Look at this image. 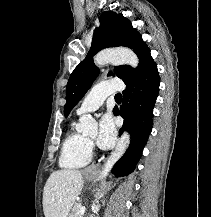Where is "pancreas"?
<instances>
[{
    "label": "pancreas",
    "mask_w": 211,
    "mask_h": 217,
    "mask_svg": "<svg viewBox=\"0 0 211 217\" xmlns=\"http://www.w3.org/2000/svg\"><path fill=\"white\" fill-rule=\"evenodd\" d=\"M80 208L81 207L79 204H75L69 217H82V215L80 214Z\"/></svg>",
    "instance_id": "obj_1"
}]
</instances>
